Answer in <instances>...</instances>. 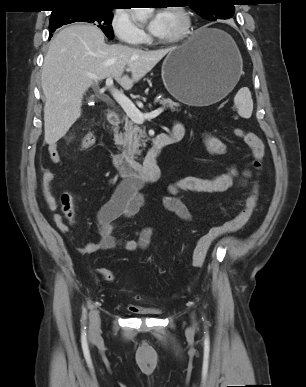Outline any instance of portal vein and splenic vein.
I'll use <instances>...</instances> for the list:
<instances>
[{"instance_id":"18ae733b","label":"portal vein and splenic vein","mask_w":306,"mask_h":387,"mask_svg":"<svg viewBox=\"0 0 306 387\" xmlns=\"http://www.w3.org/2000/svg\"><path fill=\"white\" fill-rule=\"evenodd\" d=\"M94 79L99 80L97 77H94ZM106 86L109 88L115 101L122 107L126 115L134 123L142 124L146 119L155 118L163 112V108H158L149 113H142L129 98L113 87L112 78L106 79Z\"/></svg>"}]
</instances>
